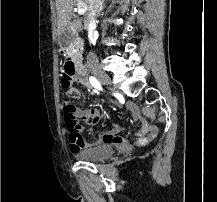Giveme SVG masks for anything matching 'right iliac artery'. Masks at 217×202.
Wrapping results in <instances>:
<instances>
[{"label":"right iliac artery","mask_w":217,"mask_h":202,"mask_svg":"<svg viewBox=\"0 0 217 202\" xmlns=\"http://www.w3.org/2000/svg\"><path fill=\"white\" fill-rule=\"evenodd\" d=\"M89 81L94 88H96L97 90H102V87H101L99 81L95 77L91 76Z\"/></svg>","instance_id":"obj_1"}]
</instances>
